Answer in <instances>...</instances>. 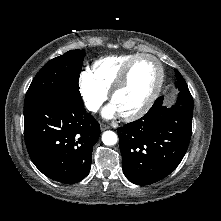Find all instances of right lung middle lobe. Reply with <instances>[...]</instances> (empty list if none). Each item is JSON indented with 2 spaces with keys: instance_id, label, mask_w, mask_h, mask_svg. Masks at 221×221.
Here are the masks:
<instances>
[{
  "instance_id": "obj_1",
  "label": "right lung middle lobe",
  "mask_w": 221,
  "mask_h": 221,
  "mask_svg": "<svg viewBox=\"0 0 221 221\" xmlns=\"http://www.w3.org/2000/svg\"><path fill=\"white\" fill-rule=\"evenodd\" d=\"M85 55L81 50H71L47 62L30 84L24 108L55 98L83 105L78 80Z\"/></svg>"
}]
</instances>
